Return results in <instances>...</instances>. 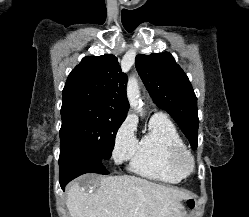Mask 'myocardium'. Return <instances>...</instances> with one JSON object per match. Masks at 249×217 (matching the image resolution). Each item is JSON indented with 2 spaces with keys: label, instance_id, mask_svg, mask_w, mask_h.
<instances>
[{
  "label": "myocardium",
  "instance_id": "1",
  "mask_svg": "<svg viewBox=\"0 0 249 217\" xmlns=\"http://www.w3.org/2000/svg\"><path fill=\"white\" fill-rule=\"evenodd\" d=\"M173 169L182 177H187L195 171V158L186 147L177 148L171 155Z\"/></svg>",
  "mask_w": 249,
  "mask_h": 217
}]
</instances>
